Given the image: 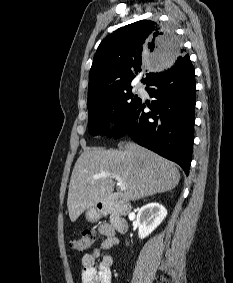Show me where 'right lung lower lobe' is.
I'll use <instances>...</instances> for the list:
<instances>
[{"instance_id": "right-lung-lower-lobe-1", "label": "right lung lower lobe", "mask_w": 233, "mask_h": 283, "mask_svg": "<svg viewBox=\"0 0 233 283\" xmlns=\"http://www.w3.org/2000/svg\"><path fill=\"white\" fill-rule=\"evenodd\" d=\"M146 88L156 98L145 113L140 99L115 139L128 134L136 143L178 163L186 175L192 157L194 140L195 75L189 55L151 79Z\"/></svg>"}]
</instances>
